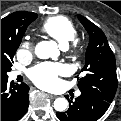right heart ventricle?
<instances>
[{"instance_id": "e07e8e85", "label": "right heart ventricle", "mask_w": 121, "mask_h": 121, "mask_svg": "<svg viewBox=\"0 0 121 121\" xmlns=\"http://www.w3.org/2000/svg\"><path fill=\"white\" fill-rule=\"evenodd\" d=\"M41 31L54 38L62 48H67L77 36L74 24L63 16L50 17L45 20Z\"/></svg>"}]
</instances>
